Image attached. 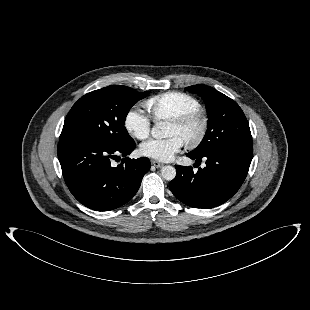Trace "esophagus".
<instances>
[{
    "mask_svg": "<svg viewBox=\"0 0 310 310\" xmlns=\"http://www.w3.org/2000/svg\"><path fill=\"white\" fill-rule=\"evenodd\" d=\"M151 163H152V165H153L154 167H156V168H161V167H163V164L160 163V162H158V161L153 160Z\"/></svg>",
    "mask_w": 310,
    "mask_h": 310,
    "instance_id": "esophagus-1",
    "label": "esophagus"
}]
</instances>
